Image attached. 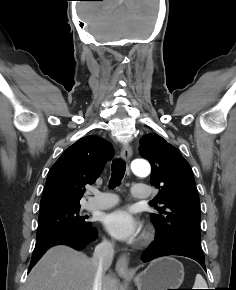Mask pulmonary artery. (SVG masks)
<instances>
[{
  "label": "pulmonary artery",
  "mask_w": 236,
  "mask_h": 290,
  "mask_svg": "<svg viewBox=\"0 0 236 290\" xmlns=\"http://www.w3.org/2000/svg\"><path fill=\"white\" fill-rule=\"evenodd\" d=\"M131 193L136 200H147L153 195V192L148 187L134 186ZM118 202L117 196L109 192H96L87 203V209H108Z\"/></svg>",
  "instance_id": "pulmonary-artery-1"
}]
</instances>
